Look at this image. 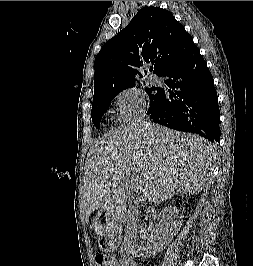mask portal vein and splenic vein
Returning a JSON list of instances; mask_svg holds the SVG:
<instances>
[{
  "label": "portal vein and splenic vein",
  "mask_w": 253,
  "mask_h": 266,
  "mask_svg": "<svg viewBox=\"0 0 253 266\" xmlns=\"http://www.w3.org/2000/svg\"><path fill=\"white\" fill-rule=\"evenodd\" d=\"M129 183L132 184V188H133V187H138V186H139L138 179L135 178V177H131L130 180H129Z\"/></svg>",
  "instance_id": "obj_1"
}]
</instances>
